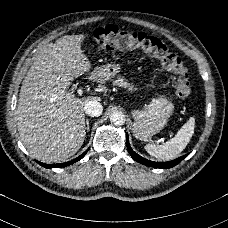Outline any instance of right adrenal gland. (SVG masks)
Returning <instances> with one entry per match:
<instances>
[{"mask_svg": "<svg viewBox=\"0 0 228 228\" xmlns=\"http://www.w3.org/2000/svg\"><path fill=\"white\" fill-rule=\"evenodd\" d=\"M86 125H87L86 129H87V131H89V121H88V119H86Z\"/></svg>", "mask_w": 228, "mask_h": 228, "instance_id": "obj_1", "label": "right adrenal gland"}]
</instances>
